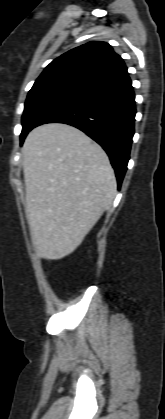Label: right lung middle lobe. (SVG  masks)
Returning a JSON list of instances; mask_svg holds the SVG:
<instances>
[{"label": "right lung middle lobe", "mask_w": 165, "mask_h": 419, "mask_svg": "<svg viewBox=\"0 0 165 419\" xmlns=\"http://www.w3.org/2000/svg\"><path fill=\"white\" fill-rule=\"evenodd\" d=\"M82 95L84 93L78 90L58 86L30 91L22 116L21 144L28 132L37 125L42 117Z\"/></svg>", "instance_id": "dd1d6c3e"}]
</instances>
